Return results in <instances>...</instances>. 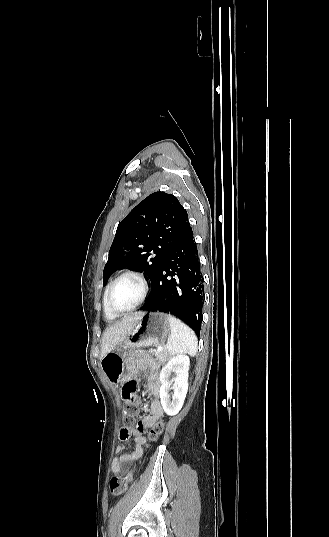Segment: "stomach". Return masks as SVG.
Instances as JSON below:
<instances>
[{
	"label": "stomach",
	"instance_id": "0dacf381",
	"mask_svg": "<svg viewBox=\"0 0 329 537\" xmlns=\"http://www.w3.org/2000/svg\"><path fill=\"white\" fill-rule=\"evenodd\" d=\"M170 333V315L161 312L142 313L140 320L126 338L100 360V366L107 379L113 383L120 380L123 351L132 347L161 345Z\"/></svg>",
	"mask_w": 329,
	"mask_h": 537
}]
</instances>
